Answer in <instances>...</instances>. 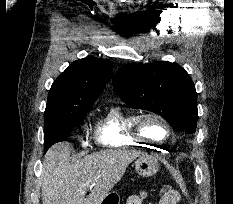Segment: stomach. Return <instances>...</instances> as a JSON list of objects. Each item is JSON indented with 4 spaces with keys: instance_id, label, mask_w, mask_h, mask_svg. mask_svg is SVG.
Wrapping results in <instances>:
<instances>
[{
    "instance_id": "0dacf381",
    "label": "stomach",
    "mask_w": 233,
    "mask_h": 204,
    "mask_svg": "<svg viewBox=\"0 0 233 204\" xmlns=\"http://www.w3.org/2000/svg\"><path fill=\"white\" fill-rule=\"evenodd\" d=\"M135 169L141 177H150L156 174L159 169L158 162L149 155H141L135 161ZM104 200L102 201V203ZM101 203V204H102Z\"/></svg>"
}]
</instances>
